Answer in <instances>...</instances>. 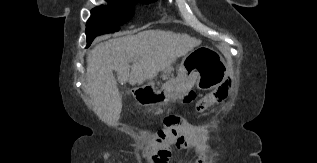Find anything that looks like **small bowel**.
I'll list each match as a JSON object with an SVG mask.
<instances>
[{"instance_id": "obj_1", "label": "small bowel", "mask_w": 317, "mask_h": 163, "mask_svg": "<svg viewBox=\"0 0 317 163\" xmlns=\"http://www.w3.org/2000/svg\"><path fill=\"white\" fill-rule=\"evenodd\" d=\"M157 136L161 148L153 157L152 163H169L175 149H190L197 154L195 163H206V154L200 149L191 126L183 119L175 116L165 118Z\"/></svg>"}]
</instances>
